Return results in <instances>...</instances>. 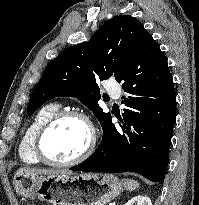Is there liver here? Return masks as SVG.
Wrapping results in <instances>:
<instances>
[{"instance_id":"obj_1","label":"liver","mask_w":199,"mask_h":205,"mask_svg":"<svg viewBox=\"0 0 199 205\" xmlns=\"http://www.w3.org/2000/svg\"><path fill=\"white\" fill-rule=\"evenodd\" d=\"M19 172H25L30 175H53V174H72L68 170L37 169V168H20Z\"/></svg>"}]
</instances>
